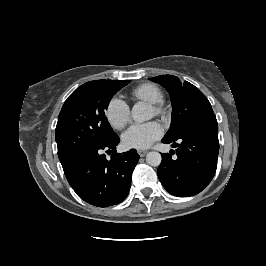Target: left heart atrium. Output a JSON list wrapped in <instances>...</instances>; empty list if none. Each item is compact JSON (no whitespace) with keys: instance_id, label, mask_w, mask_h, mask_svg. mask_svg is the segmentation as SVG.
Segmentation results:
<instances>
[{"instance_id":"1","label":"left heart atrium","mask_w":266,"mask_h":266,"mask_svg":"<svg viewBox=\"0 0 266 266\" xmlns=\"http://www.w3.org/2000/svg\"><path fill=\"white\" fill-rule=\"evenodd\" d=\"M163 135V128L157 121L132 125L122 136L126 148L146 149Z\"/></svg>"}]
</instances>
